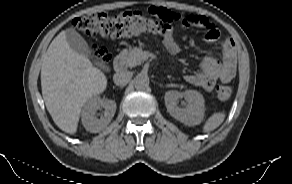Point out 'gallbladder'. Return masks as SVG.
<instances>
[{
    "label": "gallbladder",
    "mask_w": 292,
    "mask_h": 184,
    "mask_svg": "<svg viewBox=\"0 0 292 184\" xmlns=\"http://www.w3.org/2000/svg\"><path fill=\"white\" fill-rule=\"evenodd\" d=\"M66 41L69 46L76 52L81 55H84L87 58L93 59L91 51L88 47L85 39L73 28H69L65 31ZM97 66L104 68V65L99 61H94Z\"/></svg>",
    "instance_id": "obj_1"
}]
</instances>
